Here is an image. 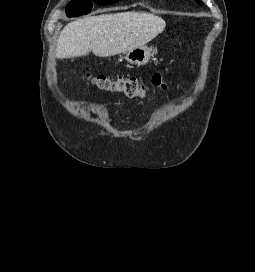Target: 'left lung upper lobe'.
<instances>
[{
  "instance_id": "obj_1",
  "label": "left lung upper lobe",
  "mask_w": 255,
  "mask_h": 272,
  "mask_svg": "<svg viewBox=\"0 0 255 272\" xmlns=\"http://www.w3.org/2000/svg\"><path fill=\"white\" fill-rule=\"evenodd\" d=\"M198 4L203 5V3L200 0H195Z\"/></svg>"
}]
</instances>
